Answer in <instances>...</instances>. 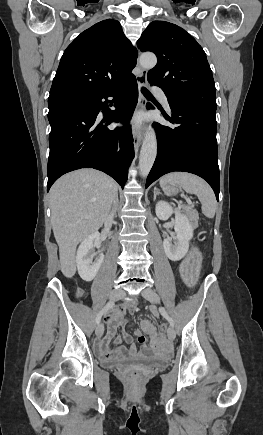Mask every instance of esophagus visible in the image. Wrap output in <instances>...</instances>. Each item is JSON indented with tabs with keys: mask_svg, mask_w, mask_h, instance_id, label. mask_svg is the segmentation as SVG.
<instances>
[{
	"mask_svg": "<svg viewBox=\"0 0 263 435\" xmlns=\"http://www.w3.org/2000/svg\"><path fill=\"white\" fill-rule=\"evenodd\" d=\"M139 68V75L137 76V84L139 88V97H138V108H144L147 103V99L141 92V88L147 84V72L142 69L139 64L137 65ZM133 141L135 148H138L143 139V129L134 125L132 128Z\"/></svg>",
	"mask_w": 263,
	"mask_h": 435,
	"instance_id": "obj_1",
	"label": "esophagus"
}]
</instances>
